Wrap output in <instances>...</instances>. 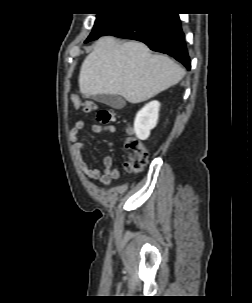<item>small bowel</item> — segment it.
I'll list each match as a JSON object with an SVG mask.
<instances>
[{"label": "small bowel", "instance_id": "obj_1", "mask_svg": "<svg viewBox=\"0 0 252 303\" xmlns=\"http://www.w3.org/2000/svg\"><path fill=\"white\" fill-rule=\"evenodd\" d=\"M84 127L85 121L78 120L76 121L74 127L70 130V138L73 141L72 149L75 161L87 177L101 183L102 185H108L112 180L119 177V170L117 168H113V158L111 156H105L103 158L102 171L98 170L85 160L83 155L85 142L79 138V133ZM92 131L95 133H115L116 127L114 125L102 126L94 124L92 126Z\"/></svg>", "mask_w": 252, "mask_h": 303}]
</instances>
